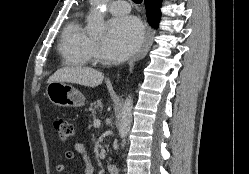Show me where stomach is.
Here are the masks:
<instances>
[{"label":"stomach","mask_w":249,"mask_h":174,"mask_svg":"<svg viewBox=\"0 0 249 174\" xmlns=\"http://www.w3.org/2000/svg\"><path fill=\"white\" fill-rule=\"evenodd\" d=\"M46 94L51 103L60 107H80L85 102L80 91L64 82L48 83Z\"/></svg>","instance_id":"obj_1"}]
</instances>
